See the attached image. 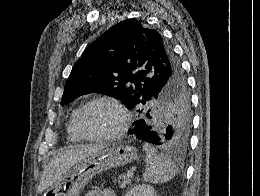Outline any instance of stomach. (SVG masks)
<instances>
[{"instance_id": "1", "label": "stomach", "mask_w": 260, "mask_h": 196, "mask_svg": "<svg viewBox=\"0 0 260 196\" xmlns=\"http://www.w3.org/2000/svg\"><path fill=\"white\" fill-rule=\"evenodd\" d=\"M137 158V150L132 146L104 148L74 166L69 172L68 180H58V185H67V187H50L43 196H80L82 190L96 174L117 166H125Z\"/></svg>"}]
</instances>
